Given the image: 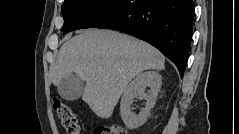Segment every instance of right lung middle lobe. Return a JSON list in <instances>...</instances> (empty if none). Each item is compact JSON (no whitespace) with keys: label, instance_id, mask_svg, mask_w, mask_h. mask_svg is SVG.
<instances>
[{"label":"right lung middle lobe","instance_id":"right-lung-middle-lobe-1","mask_svg":"<svg viewBox=\"0 0 239 134\" xmlns=\"http://www.w3.org/2000/svg\"><path fill=\"white\" fill-rule=\"evenodd\" d=\"M116 0H65L63 33L83 28L96 14Z\"/></svg>","mask_w":239,"mask_h":134}]
</instances>
